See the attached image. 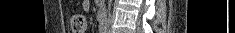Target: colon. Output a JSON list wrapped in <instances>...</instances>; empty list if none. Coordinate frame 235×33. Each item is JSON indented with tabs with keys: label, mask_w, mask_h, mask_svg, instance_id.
I'll list each match as a JSON object with an SVG mask.
<instances>
[{
	"label": "colon",
	"mask_w": 235,
	"mask_h": 33,
	"mask_svg": "<svg viewBox=\"0 0 235 33\" xmlns=\"http://www.w3.org/2000/svg\"><path fill=\"white\" fill-rule=\"evenodd\" d=\"M88 27L87 19L82 14H73L70 18V29L72 33H86Z\"/></svg>",
	"instance_id": "5ec220e1"
}]
</instances>
